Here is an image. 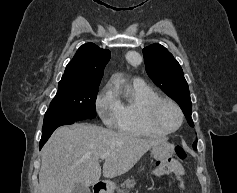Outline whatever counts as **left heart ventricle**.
Here are the masks:
<instances>
[{"label": "left heart ventricle", "mask_w": 237, "mask_h": 193, "mask_svg": "<svg viewBox=\"0 0 237 193\" xmlns=\"http://www.w3.org/2000/svg\"><path fill=\"white\" fill-rule=\"evenodd\" d=\"M157 120L166 128H175L179 124V114L176 109L168 104H162L157 111Z\"/></svg>", "instance_id": "obj_1"}]
</instances>
